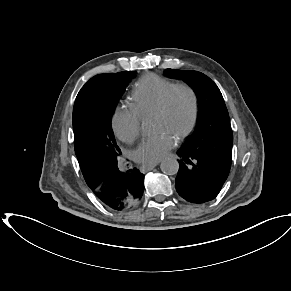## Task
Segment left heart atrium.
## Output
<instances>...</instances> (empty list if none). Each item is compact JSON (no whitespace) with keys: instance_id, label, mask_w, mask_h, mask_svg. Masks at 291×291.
Masks as SVG:
<instances>
[{"instance_id":"39dd6f15","label":"left heart atrium","mask_w":291,"mask_h":291,"mask_svg":"<svg viewBox=\"0 0 291 291\" xmlns=\"http://www.w3.org/2000/svg\"><path fill=\"white\" fill-rule=\"evenodd\" d=\"M174 145V136L165 131L145 138L135 150L134 158L140 163H155L163 159Z\"/></svg>"}]
</instances>
